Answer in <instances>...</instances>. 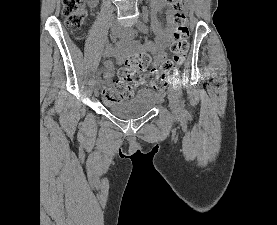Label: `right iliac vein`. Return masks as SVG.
I'll list each match as a JSON object with an SVG mask.
<instances>
[{
	"instance_id": "right-iliac-vein-1",
	"label": "right iliac vein",
	"mask_w": 277,
	"mask_h": 225,
	"mask_svg": "<svg viewBox=\"0 0 277 225\" xmlns=\"http://www.w3.org/2000/svg\"><path fill=\"white\" fill-rule=\"evenodd\" d=\"M112 35L115 38H121L124 36V31L119 27H115V28H112ZM93 90H94V93L97 94L99 91L98 86H94Z\"/></svg>"
}]
</instances>
